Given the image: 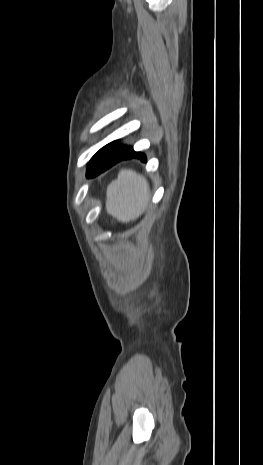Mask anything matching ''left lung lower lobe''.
I'll list each match as a JSON object with an SVG mask.
<instances>
[{
    "mask_svg": "<svg viewBox=\"0 0 263 465\" xmlns=\"http://www.w3.org/2000/svg\"><path fill=\"white\" fill-rule=\"evenodd\" d=\"M138 158L146 161L145 155L135 152L132 147L122 146L113 141L101 148L90 160L87 177H94L123 159Z\"/></svg>",
    "mask_w": 263,
    "mask_h": 465,
    "instance_id": "left-lung-lower-lobe-1",
    "label": "left lung lower lobe"
}]
</instances>
